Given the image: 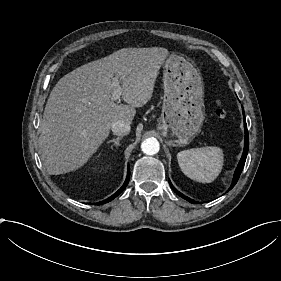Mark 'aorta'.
I'll return each instance as SVG.
<instances>
[{
    "label": "aorta",
    "instance_id": "aorta-1",
    "mask_svg": "<svg viewBox=\"0 0 281 281\" xmlns=\"http://www.w3.org/2000/svg\"><path fill=\"white\" fill-rule=\"evenodd\" d=\"M141 149L146 155H154L159 152L160 145L156 138L151 137L142 142Z\"/></svg>",
    "mask_w": 281,
    "mask_h": 281
}]
</instances>
